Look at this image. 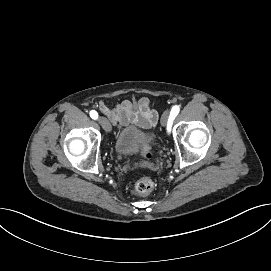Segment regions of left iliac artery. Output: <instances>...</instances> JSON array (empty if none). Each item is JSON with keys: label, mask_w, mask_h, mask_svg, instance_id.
I'll return each instance as SVG.
<instances>
[{"label": "left iliac artery", "mask_w": 271, "mask_h": 271, "mask_svg": "<svg viewBox=\"0 0 271 271\" xmlns=\"http://www.w3.org/2000/svg\"><path fill=\"white\" fill-rule=\"evenodd\" d=\"M179 111H180L179 106L175 105V106L172 107V110H171L170 116H169V120H168V123L166 125V135H171L172 128L174 126L173 120L177 116Z\"/></svg>", "instance_id": "1"}]
</instances>
